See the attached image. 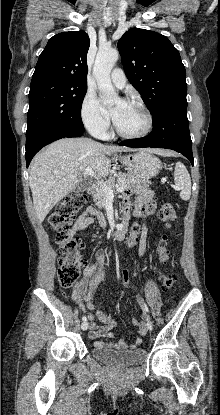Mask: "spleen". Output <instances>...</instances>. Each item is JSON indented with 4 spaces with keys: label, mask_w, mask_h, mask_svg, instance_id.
<instances>
[{
    "label": "spleen",
    "mask_w": 220,
    "mask_h": 415,
    "mask_svg": "<svg viewBox=\"0 0 220 415\" xmlns=\"http://www.w3.org/2000/svg\"><path fill=\"white\" fill-rule=\"evenodd\" d=\"M161 154L160 152H158ZM174 182L181 190L180 197L187 201L191 195V178L185 165L181 162L176 163L174 171Z\"/></svg>",
    "instance_id": "spleen-1"
}]
</instances>
